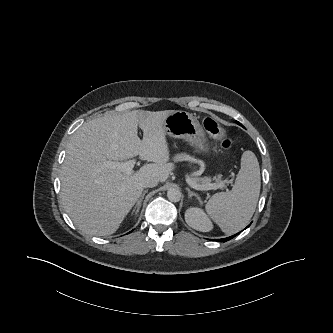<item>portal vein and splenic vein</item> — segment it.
<instances>
[{
  "label": "portal vein and splenic vein",
  "instance_id": "1",
  "mask_svg": "<svg viewBox=\"0 0 333 333\" xmlns=\"http://www.w3.org/2000/svg\"><path fill=\"white\" fill-rule=\"evenodd\" d=\"M136 164V160H129L126 162H117V161H105L104 166L108 168L118 169L126 174H132L133 168ZM187 183L190 187L196 189V190H215L218 188H222L225 186V181L221 183H214V184H206V185H199L195 183L191 178H186Z\"/></svg>",
  "mask_w": 333,
  "mask_h": 333
}]
</instances>
